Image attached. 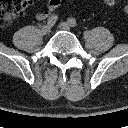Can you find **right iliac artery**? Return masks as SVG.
Masks as SVG:
<instances>
[{
	"label": "right iliac artery",
	"mask_w": 128,
	"mask_h": 128,
	"mask_svg": "<svg viewBox=\"0 0 128 128\" xmlns=\"http://www.w3.org/2000/svg\"><path fill=\"white\" fill-rule=\"evenodd\" d=\"M58 20V16L57 15H52L51 17H49V19L47 20V24L49 26H53Z\"/></svg>",
	"instance_id": "82829eb1"
}]
</instances>
